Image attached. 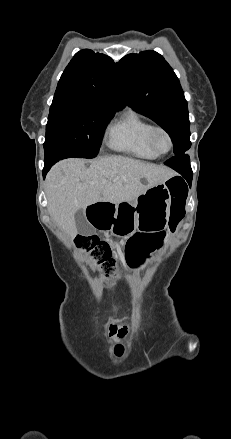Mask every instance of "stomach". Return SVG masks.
<instances>
[{"label": "stomach", "mask_w": 231, "mask_h": 439, "mask_svg": "<svg viewBox=\"0 0 231 439\" xmlns=\"http://www.w3.org/2000/svg\"><path fill=\"white\" fill-rule=\"evenodd\" d=\"M165 183L153 186L128 204L130 213L116 224L117 234L131 235L136 230H159L167 225L171 194Z\"/></svg>", "instance_id": "stomach-1"}]
</instances>
